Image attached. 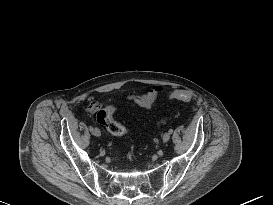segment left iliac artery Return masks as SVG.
<instances>
[{
  "instance_id": "left-iliac-artery-1",
  "label": "left iliac artery",
  "mask_w": 273,
  "mask_h": 205,
  "mask_svg": "<svg viewBox=\"0 0 273 205\" xmlns=\"http://www.w3.org/2000/svg\"><path fill=\"white\" fill-rule=\"evenodd\" d=\"M168 132H169V134H172L173 133V129H170Z\"/></svg>"
}]
</instances>
